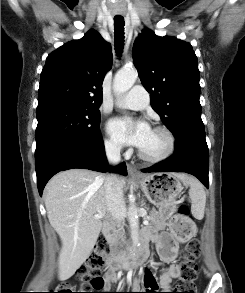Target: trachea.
Segmentation results:
<instances>
[{
  "label": "trachea",
  "instance_id": "trachea-1",
  "mask_svg": "<svg viewBox=\"0 0 245 293\" xmlns=\"http://www.w3.org/2000/svg\"><path fill=\"white\" fill-rule=\"evenodd\" d=\"M124 18H114V37H115V50L120 56L124 46Z\"/></svg>",
  "mask_w": 245,
  "mask_h": 293
}]
</instances>
